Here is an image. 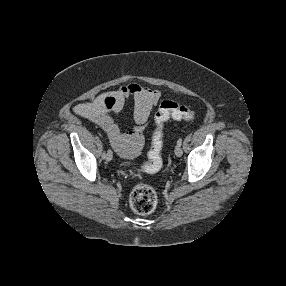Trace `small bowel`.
<instances>
[{
  "label": "small bowel",
  "instance_id": "obj_1",
  "mask_svg": "<svg viewBox=\"0 0 286 286\" xmlns=\"http://www.w3.org/2000/svg\"><path fill=\"white\" fill-rule=\"evenodd\" d=\"M161 96L162 93L158 89L130 82L101 94L93 102L77 104L74 111L98 125L118 155L123 158H134L140 153L144 142V130ZM130 99L134 104V126L122 131L114 116L122 112Z\"/></svg>",
  "mask_w": 286,
  "mask_h": 286
}]
</instances>
